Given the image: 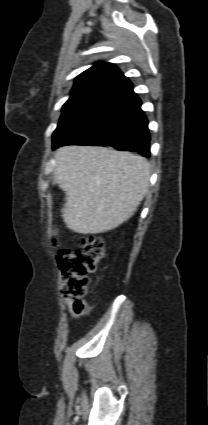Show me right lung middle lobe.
Here are the masks:
<instances>
[{"label": "right lung middle lobe", "mask_w": 208, "mask_h": 425, "mask_svg": "<svg viewBox=\"0 0 208 425\" xmlns=\"http://www.w3.org/2000/svg\"><path fill=\"white\" fill-rule=\"evenodd\" d=\"M98 92H83L71 95L68 101L63 105L62 115L59 120L58 125L64 124L70 114H72L75 110L89 102L90 100L96 98L98 96ZM55 139L53 138V144H55Z\"/></svg>", "instance_id": "right-lung-middle-lobe-1"}]
</instances>
